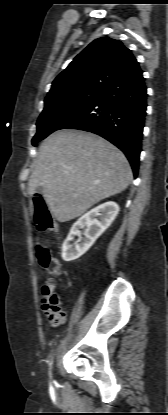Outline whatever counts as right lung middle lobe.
<instances>
[{"label": "right lung middle lobe", "mask_w": 168, "mask_h": 415, "mask_svg": "<svg viewBox=\"0 0 168 415\" xmlns=\"http://www.w3.org/2000/svg\"><path fill=\"white\" fill-rule=\"evenodd\" d=\"M102 92V90H79L45 101L32 144L36 146L37 142L58 130L66 121L96 100Z\"/></svg>", "instance_id": "1"}]
</instances>
